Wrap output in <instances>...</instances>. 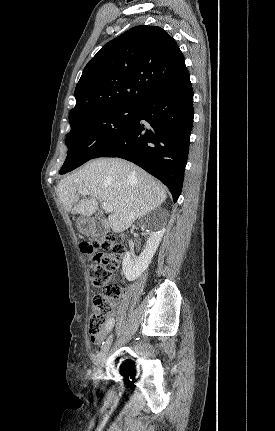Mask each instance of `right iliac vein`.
Returning <instances> with one entry per match:
<instances>
[{"instance_id":"63e3f726","label":"right iliac vein","mask_w":275,"mask_h":431,"mask_svg":"<svg viewBox=\"0 0 275 431\" xmlns=\"http://www.w3.org/2000/svg\"><path fill=\"white\" fill-rule=\"evenodd\" d=\"M112 341H113V337H112V335H110L108 337V339L105 341L101 351L99 352V354L97 356V359L95 362V368H94V376L96 378H99L102 375L103 366H104L108 351L110 349V346L112 344Z\"/></svg>"}]
</instances>
